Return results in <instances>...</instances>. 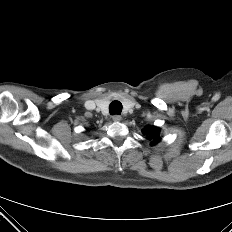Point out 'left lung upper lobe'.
<instances>
[{"label":"left lung upper lobe","instance_id":"obj_1","mask_svg":"<svg viewBox=\"0 0 232 232\" xmlns=\"http://www.w3.org/2000/svg\"><path fill=\"white\" fill-rule=\"evenodd\" d=\"M144 132L147 133L151 138H153L154 143H157V141L160 140L159 138L160 129H157L156 127H147L145 128Z\"/></svg>","mask_w":232,"mask_h":232}]
</instances>
